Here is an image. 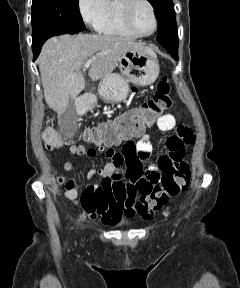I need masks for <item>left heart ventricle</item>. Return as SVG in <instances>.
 <instances>
[{
  "label": "left heart ventricle",
  "instance_id": "1",
  "mask_svg": "<svg viewBox=\"0 0 240 288\" xmlns=\"http://www.w3.org/2000/svg\"><path fill=\"white\" fill-rule=\"evenodd\" d=\"M133 25L137 32L149 34L154 29V19L150 8L143 3L137 5L133 13Z\"/></svg>",
  "mask_w": 240,
  "mask_h": 288
}]
</instances>
